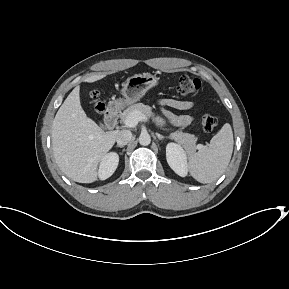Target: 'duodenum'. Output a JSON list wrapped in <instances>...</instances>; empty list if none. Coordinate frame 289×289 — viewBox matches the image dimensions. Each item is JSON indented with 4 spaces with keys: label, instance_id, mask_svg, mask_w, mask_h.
I'll return each instance as SVG.
<instances>
[{
    "label": "duodenum",
    "instance_id": "obj_1",
    "mask_svg": "<svg viewBox=\"0 0 289 289\" xmlns=\"http://www.w3.org/2000/svg\"><path fill=\"white\" fill-rule=\"evenodd\" d=\"M119 116H120V110L114 106V105H110L107 110H106V113H105V125L107 128H113L118 119H119Z\"/></svg>",
    "mask_w": 289,
    "mask_h": 289
}]
</instances>
